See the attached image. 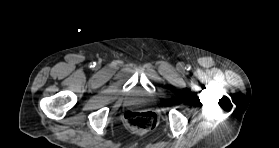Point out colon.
I'll use <instances>...</instances> for the list:
<instances>
[{
  "instance_id": "1",
  "label": "colon",
  "mask_w": 279,
  "mask_h": 148,
  "mask_svg": "<svg viewBox=\"0 0 279 148\" xmlns=\"http://www.w3.org/2000/svg\"><path fill=\"white\" fill-rule=\"evenodd\" d=\"M124 119L126 124L136 131H148L157 124V116L151 111H128Z\"/></svg>"
}]
</instances>
